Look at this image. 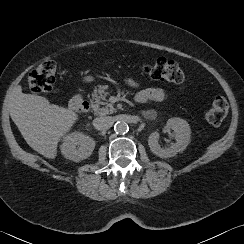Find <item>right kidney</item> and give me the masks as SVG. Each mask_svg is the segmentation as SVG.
I'll use <instances>...</instances> for the list:
<instances>
[{
  "instance_id": "right-kidney-1",
  "label": "right kidney",
  "mask_w": 244,
  "mask_h": 244,
  "mask_svg": "<svg viewBox=\"0 0 244 244\" xmlns=\"http://www.w3.org/2000/svg\"><path fill=\"white\" fill-rule=\"evenodd\" d=\"M95 148V141L82 132H72L63 137L61 153L66 159L79 162L87 159Z\"/></svg>"
}]
</instances>
